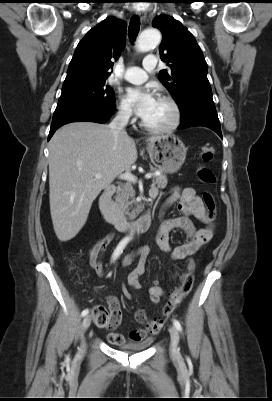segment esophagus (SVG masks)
Returning a JSON list of instances; mask_svg holds the SVG:
<instances>
[{
    "label": "esophagus",
    "instance_id": "esophagus-1",
    "mask_svg": "<svg viewBox=\"0 0 272 401\" xmlns=\"http://www.w3.org/2000/svg\"><path fill=\"white\" fill-rule=\"evenodd\" d=\"M136 14L139 16V18H140L141 20H144V19L146 18V12H145V11L137 10V11H136Z\"/></svg>",
    "mask_w": 272,
    "mask_h": 401
}]
</instances>
